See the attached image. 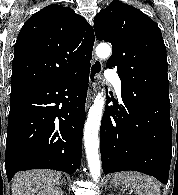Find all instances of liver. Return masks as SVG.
Wrapping results in <instances>:
<instances>
[{
    "label": "liver",
    "instance_id": "liver-1",
    "mask_svg": "<svg viewBox=\"0 0 178 195\" xmlns=\"http://www.w3.org/2000/svg\"><path fill=\"white\" fill-rule=\"evenodd\" d=\"M61 182L62 174L52 170L20 172L12 180V195H35L39 190Z\"/></svg>",
    "mask_w": 178,
    "mask_h": 195
}]
</instances>
